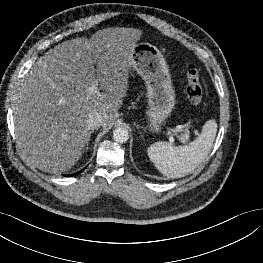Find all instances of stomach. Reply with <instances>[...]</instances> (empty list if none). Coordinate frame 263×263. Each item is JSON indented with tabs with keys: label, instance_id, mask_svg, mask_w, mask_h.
<instances>
[{
	"label": "stomach",
	"instance_id": "obj_1",
	"mask_svg": "<svg viewBox=\"0 0 263 263\" xmlns=\"http://www.w3.org/2000/svg\"><path fill=\"white\" fill-rule=\"evenodd\" d=\"M130 54L131 68L143 78L147 89L148 128L159 132L176 106L169 66L162 52L147 42L137 43Z\"/></svg>",
	"mask_w": 263,
	"mask_h": 263
}]
</instances>
